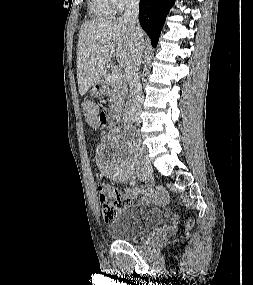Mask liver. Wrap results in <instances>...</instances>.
Returning a JSON list of instances; mask_svg holds the SVG:
<instances>
[{
  "label": "liver",
  "instance_id": "1",
  "mask_svg": "<svg viewBox=\"0 0 253 285\" xmlns=\"http://www.w3.org/2000/svg\"><path fill=\"white\" fill-rule=\"evenodd\" d=\"M143 46L146 41L144 31L133 29L123 18H106L85 22L79 31L77 47V81L79 93L84 95L106 73L115 47L116 59L125 66L134 48L135 38Z\"/></svg>",
  "mask_w": 253,
  "mask_h": 285
}]
</instances>
